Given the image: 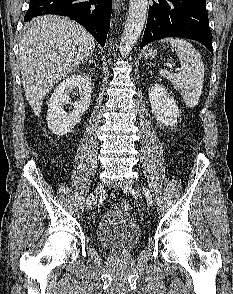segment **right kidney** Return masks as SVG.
<instances>
[{"label": "right kidney", "instance_id": "ca27d5eb", "mask_svg": "<svg viewBox=\"0 0 233 294\" xmlns=\"http://www.w3.org/2000/svg\"><path fill=\"white\" fill-rule=\"evenodd\" d=\"M91 77L85 73H74L64 79L54 90L47 112L49 129L56 135L69 133L88 110L91 102ZM79 92V99L73 103V111L65 112L64 105L70 103V93Z\"/></svg>", "mask_w": 233, "mask_h": 294}]
</instances>
